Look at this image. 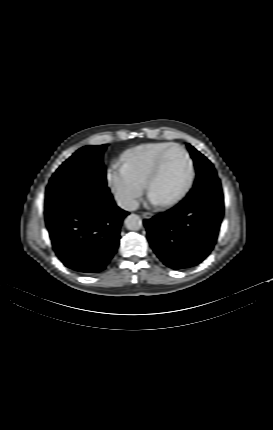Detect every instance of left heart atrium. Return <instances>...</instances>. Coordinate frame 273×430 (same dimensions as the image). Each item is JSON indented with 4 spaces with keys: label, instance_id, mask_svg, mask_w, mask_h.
Listing matches in <instances>:
<instances>
[{
    "label": "left heart atrium",
    "instance_id": "obj_1",
    "mask_svg": "<svg viewBox=\"0 0 273 430\" xmlns=\"http://www.w3.org/2000/svg\"><path fill=\"white\" fill-rule=\"evenodd\" d=\"M148 201L153 205L160 204L152 195L149 194Z\"/></svg>",
    "mask_w": 273,
    "mask_h": 430
}]
</instances>
